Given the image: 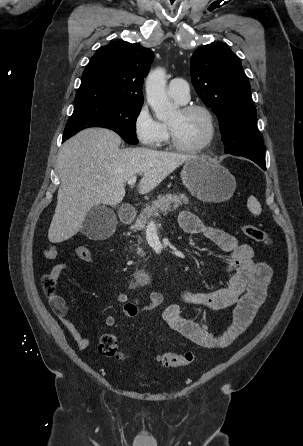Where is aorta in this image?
Masks as SVG:
<instances>
[{"label": "aorta", "instance_id": "obj_1", "mask_svg": "<svg viewBox=\"0 0 303 446\" xmlns=\"http://www.w3.org/2000/svg\"><path fill=\"white\" fill-rule=\"evenodd\" d=\"M166 72L156 68L146 79V98L156 118L164 121L171 118L176 109L166 95Z\"/></svg>", "mask_w": 303, "mask_h": 446}]
</instances>
